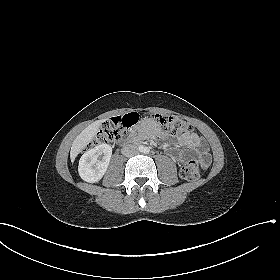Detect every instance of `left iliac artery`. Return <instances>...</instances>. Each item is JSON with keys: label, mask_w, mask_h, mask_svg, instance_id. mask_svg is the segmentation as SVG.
<instances>
[{"label": "left iliac artery", "mask_w": 280, "mask_h": 280, "mask_svg": "<svg viewBox=\"0 0 280 280\" xmlns=\"http://www.w3.org/2000/svg\"><path fill=\"white\" fill-rule=\"evenodd\" d=\"M145 152H146V153H149V149H148V148H146V149H145Z\"/></svg>", "instance_id": "left-iliac-artery-1"}]
</instances>
